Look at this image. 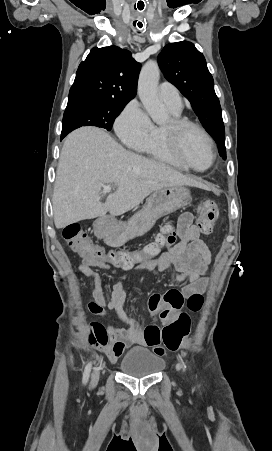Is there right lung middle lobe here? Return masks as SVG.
I'll use <instances>...</instances> for the list:
<instances>
[{
	"instance_id": "right-lung-middle-lobe-1",
	"label": "right lung middle lobe",
	"mask_w": 272,
	"mask_h": 451,
	"mask_svg": "<svg viewBox=\"0 0 272 451\" xmlns=\"http://www.w3.org/2000/svg\"><path fill=\"white\" fill-rule=\"evenodd\" d=\"M128 102L84 99L68 102L63 116L61 139L81 126L111 130L115 118Z\"/></svg>"
}]
</instances>
